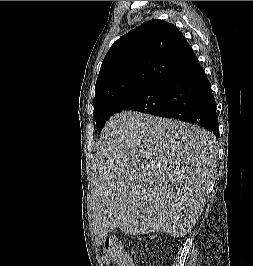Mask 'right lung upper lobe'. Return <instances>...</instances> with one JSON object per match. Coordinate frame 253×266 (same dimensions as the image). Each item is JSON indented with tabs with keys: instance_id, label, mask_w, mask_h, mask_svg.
<instances>
[{
	"instance_id": "cb5924a9",
	"label": "right lung upper lobe",
	"mask_w": 253,
	"mask_h": 266,
	"mask_svg": "<svg viewBox=\"0 0 253 266\" xmlns=\"http://www.w3.org/2000/svg\"><path fill=\"white\" fill-rule=\"evenodd\" d=\"M196 61L175 25L150 20L122 36L107 52L96 82L94 105L152 82H170Z\"/></svg>"
}]
</instances>
